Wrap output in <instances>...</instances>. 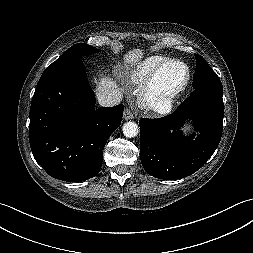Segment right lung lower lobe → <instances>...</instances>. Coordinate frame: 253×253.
Instances as JSON below:
<instances>
[{"label": "right lung lower lobe", "instance_id": "1", "mask_svg": "<svg viewBox=\"0 0 253 253\" xmlns=\"http://www.w3.org/2000/svg\"><path fill=\"white\" fill-rule=\"evenodd\" d=\"M123 110L122 104L95 109V96L79 59L43 73L30 109L34 158L56 179L77 182L94 177Z\"/></svg>", "mask_w": 253, "mask_h": 253}]
</instances>
